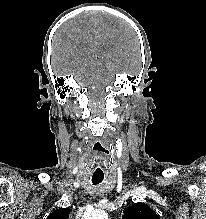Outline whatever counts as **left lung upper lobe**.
<instances>
[{
  "instance_id": "left-lung-upper-lobe-1",
  "label": "left lung upper lobe",
  "mask_w": 206,
  "mask_h": 219,
  "mask_svg": "<svg viewBox=\"0 0 206 219\" xmlns=\"http://www.w3.org/2000/svg\"><path fill=\"white\" fill-rule=\"evenodd\" d=\"M122 219H160L146 204L138 202L123 210Z\"/></svg>"
}]
</instances>
